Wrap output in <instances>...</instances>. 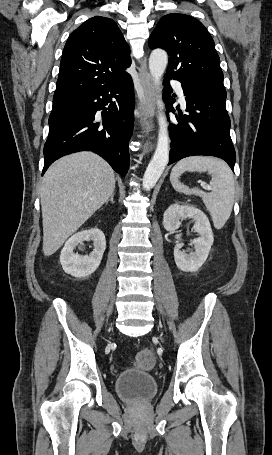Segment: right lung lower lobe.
Returning <instances> with one entry per match:
<instances>
[{"mask_svg":"<svg viewBox=\"0 0 272 455\" xmlns=\"http://www.w3.org/2000/svg\"><path fill=\"white\" fill-rule=\"evenodd\" d=\"M113 97L115 101H112ZM134 105L130 75L119 82L54 103L43 149L42 175L58 158L90 150L125 176L129 168L128 143L132 135ZM98 110H102L101 118L96 114Z\"/></svg>","mask_w":272,"mask_h":455,"instance_id":"98d812e1","label":"right lung lower lobe"}]
</instances>
